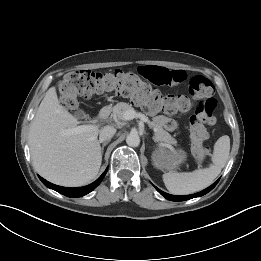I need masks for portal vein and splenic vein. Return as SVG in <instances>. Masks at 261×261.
<instances>
[{"instance_id": "portal-vein-and-splenic-vein-1", "label": "portal vein and splenic vein", "mask_w": 261, "mask_h": 261, "mask_svg": "<svg viewBox=\"0 0 261 261\" xmlns=\"http://www.w3.org/2000/svg\"><path fill=\"white\" fill-rule=\"evenodd\" d=\"M134 118H140L144 122H148V118L144 114L137 113L134 109L127 110L123 114V120H132ZM94 128H97V126L93 125V124L80 125V126H76L74 128L65 130V134H67V135L79 134V133H82V132H85L87 130H91Z\"/></svg>"}]
</instances>
